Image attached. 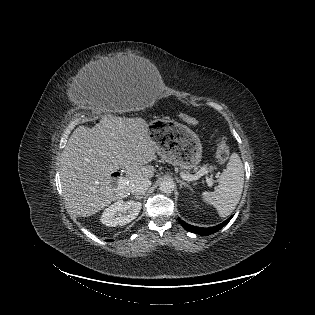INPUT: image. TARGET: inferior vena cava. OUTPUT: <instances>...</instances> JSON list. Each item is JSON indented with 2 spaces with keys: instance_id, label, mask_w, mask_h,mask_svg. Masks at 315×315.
Here are the masks:
<instances>
[{
  "instance_id": "602c4592",
  "label": "inferior vena cava",
  "mask_w": 315,
  "mask_h": 315,
  "mask_svg": "<svg viewBox=\"0 0 315 315\" xmlns=\"http://www.w3.org/2000/svg\"><path fill=\"white\" fill-rule=\"evenodd\" d=\"M150 186L151 181L149 179H142L132 185L130 192L131 194H134L136 196L143 195L146 193Z\"/></svg>"
}]
</instances>
